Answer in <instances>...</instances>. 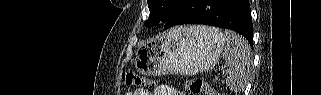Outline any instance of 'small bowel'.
Instances as JSON below:
<instances>
[{"label": "small bowel", "instance_id": "small-bowel-1", "mask_svg": "<svg viewBox=\"0 0 321 95\" xmlns=\"http://www.w3.org/2000/svg\"><path fill=\"white\" fill-rule=\"evenodd\" d=\"M147 91L143 89H137L135 91V95H149ZM155 95H185V93L178 91L176 88L168 86V85H161L157 88Z\"/></svg>", "mask_w": 321, "mask_h": 95}]
</instances>
